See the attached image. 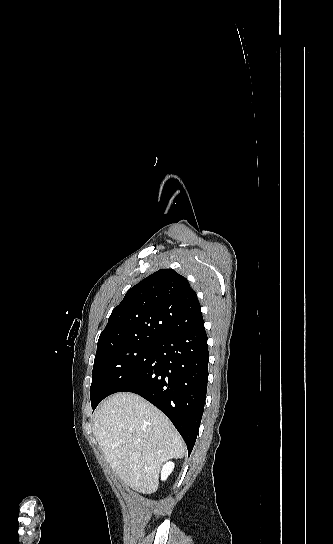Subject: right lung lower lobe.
Masks as SVG:
<instances>
[{
  "label": "right lung lower lobe",
  "instance_id": "1",
  "mask_svg": "<svg viewBox=\"0 0 333 544\" xmlns=\"http://www.w3.org/2000/svg\"><path fill=\"white\" fill-rule=\"evenodd\" d=\"M203 318L156 341L151 359L121 392L136 393L174 424L190 455L204 411L209 352Z\"/></svg>",
  "mask_w": 333,
  "mask_h": 544
}]
</instances>
